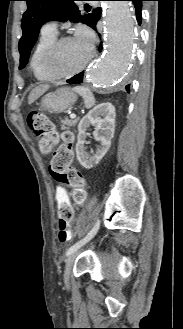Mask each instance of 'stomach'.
<instances>
[{
  "mask_svg": "<svg viewBox=\"0 0 183 329\" xmlns=\"http://www.w3.org/2000/svg\"><path fill=\"white\" fill-rule=\"evenodd\" d=\"M77 100V95L67 87L57 89L42 99V109L50 113H62L70 109Z\"/></svg>",
  "mask_w": 183,
  "mask_h": 329,
  "instance_id": "stomach-1",
  "label": "stomach"
}]
</instances>
